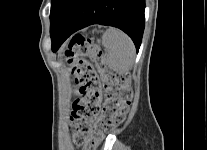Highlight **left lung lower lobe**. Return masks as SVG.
<instances>
[{
  "instance_id": "obj_1",
  "label": "left lung lower lobe",
  "mask_w": 207,
  "mask_h": 150,
  "mask_svg": "<svg viewBox=\"0 0 207 150\" xmlns=\"http://www.w3.org/2000/svg\"><path fill=\"white\" fill-rule=\"evenodd\" d=\"M145 0H68L50 28L52 50L74 32L91 24L117 27L127 33L139 50L144 31Z\"/></svg>"
}]
</instances>
